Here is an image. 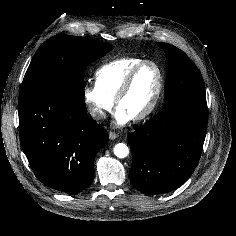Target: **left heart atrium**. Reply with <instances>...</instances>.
Segmentation results:
<instances>
[{
	"label": "left heart atrium",
	"instance_id": "left-heart-atrium-1",
	"mask_svg": "<svg viewBox=\"0 0 236 236\" xmlns=\"http://www.w3.org/2000/svg\"><path fill=\"white\" fill-rule=\"evenodd\" d=\"M114 119L116 125L123 126L127 124L132 118L125 111L120 108H117L114 115Z\"/></svg>",
	"mask_w": 236,
	"mask_h": 236
}]
</instances>
